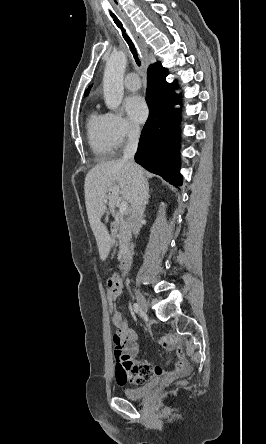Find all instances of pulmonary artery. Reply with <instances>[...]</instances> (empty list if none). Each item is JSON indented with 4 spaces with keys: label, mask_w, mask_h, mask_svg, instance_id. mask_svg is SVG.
Listing matches in <instances>:
<instances>
[{
    "label": "pulmonary artery",
    "mask_w": 266,
    "mask_h": 444,
    "mask_svg": "<svg viewBox=\"0 0 266 444\" xmlns=\"http://www.w3.org/2000/svg\"><path fill=\"white\" fill-rule=\"evenodd\" d=\"M124 85L129 90H138L141 87V82L136 73H129L124 79Z\"/></svg>",
    "instance_id": "obj_1"
}]
</instances>
